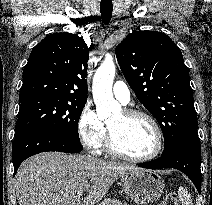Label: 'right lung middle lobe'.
Returning a JSON list of instances; mask_svg holds the SVG:
<instances>
[{
  "instance_id": "right-lung-middle-lobe-1",
  "label": "right lung middle lobe",
  "mask_w": 212,
  "mask_h": 205,
  "mask_svg": "<svg viewBox=\"0 0 212 205\" xmlns=\"http://www.w3.org/2000/svg\"><path fill=\"white\" fill-rule=\"evenodd\" d=\"M20 101L15 137L33 131H52L79 141L78 121L86 102L52 97Z\"/></svg>"
}]
</instances>
